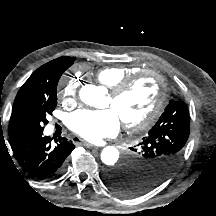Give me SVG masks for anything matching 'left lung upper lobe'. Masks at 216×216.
<instances>
[{"label": "left lung upper lobe", "mask_w": 216, "mask_h": 216, "mask_svg": "<svg viewBox=\"0 0 216 216\" xmlns=\"http://www.w3.org/2000/svg\"><path fill=\"white\" fill-rule=\"evenodd\" d=\"M190 134V117L187 105L169 101L165 112L138 144L139 158L127 163L131 168L125 182L134 186L136 196L148 192L174 169L184 152Z\"/></svg>", "instance_id": "left-lung-upper-lobe-1"}]
</instances>
